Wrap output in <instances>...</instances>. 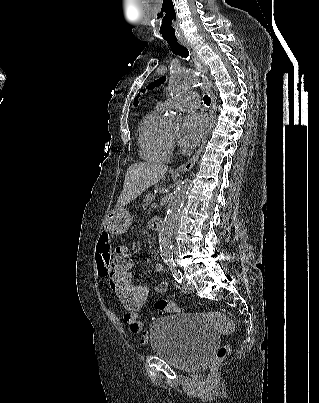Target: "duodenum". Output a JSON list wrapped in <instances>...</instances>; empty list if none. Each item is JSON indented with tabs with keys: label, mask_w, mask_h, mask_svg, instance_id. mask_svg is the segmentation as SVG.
Masks as SVG:
<instances>
[{
	"label": "duodenum",
	"mask_w": 319,
	"mask_h": 403,
	"mask_svg": "<svg viewBox=\"0 0 319 403\" xmlns=\"http://www.w3.org/2000/svg\"><path fill=\"white\" fill-rule=\"evenodd\" d=\"M150 225H151V228H152L154 231H159L160 228H161V220L158 219V218H154V219L151 220Z\"/></svg>",
	"instance_id": "410a0bca"
}]
</instances>
